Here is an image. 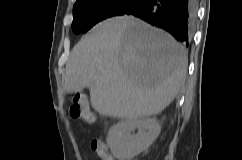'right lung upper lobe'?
<instances>
[{"mask_svg":"<svg viewBox=\"0 0 242 160\" xmlns=\"http://www.w3.org/2000/svg\"><path fill=\"white\" fill-rule=\"evenodd\" d=\"M80 1H82V0H77L76 3L80 2ZM76 3H75V4H76Z\"/></svg>","mask_w":242,"mask_h":160,"instance_id":"right-lung-upper-lobe-1","label":"right lung upper lobe"}]
</instances>
